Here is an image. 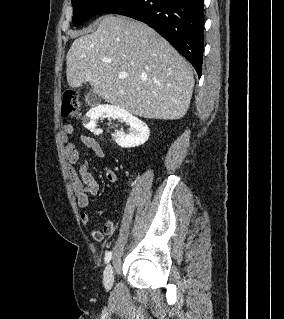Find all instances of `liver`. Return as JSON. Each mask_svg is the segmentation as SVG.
I'll list each match as a JSON object with an SVG mask.
<instances>
[{
    "instance_id": "6515ba94",
    "label": "liver",
    "mask_w": 284,
    "mask_h": 319,
    "mask_svg": "<svg viewBox=\"0 0 284 319\" xmlns=\"http://www.w3.org/2000/svg\"><path fill=\"white\" fill-rule=\"evenodd\" d=\"M67 81L89 83L106 102L148 119L182 118L190 104L191 65L155 30L124 16L106 15L97 29L74 40ZM125 74V78H120Z\"/></svg>"
}]
</instances>
